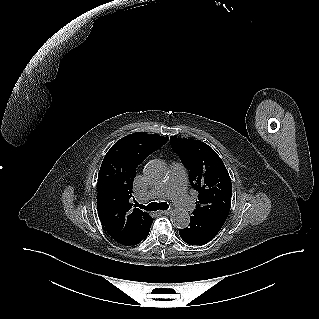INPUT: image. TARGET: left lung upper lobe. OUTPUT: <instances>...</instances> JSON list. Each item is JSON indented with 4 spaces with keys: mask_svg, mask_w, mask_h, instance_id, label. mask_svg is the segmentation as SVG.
<instances>
[{
    "mask_svg": "<svg viewBox=\"0 0 319 319\" xmlns=\"http://www.w3.org/2000/svg\"><path fill=\"white\" fill-rule=\"evenodd\" d=\"M171 147L190 170V182L199 192L193 215L227 219L231 207L232 183L218 154L207 144L171 136Z\"/></svg>",
    "mask_w": 319,
    "mask_h": 319,
    "instance_id": "obj_1",
    "label": "left lung upper lobe"
}]
</instances>
